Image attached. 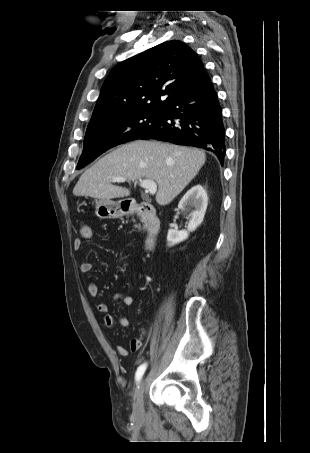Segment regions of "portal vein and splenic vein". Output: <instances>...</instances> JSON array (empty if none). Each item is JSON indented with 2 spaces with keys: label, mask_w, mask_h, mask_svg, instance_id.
<instances>
[{
  "label": "portal vein and splenic vein",
  "mask_w": 310,
  "mask_h": 453,
  "mask_svg": "<svg viewBox=\"0 0 310 453\" xmlns=\"http://www.w3.org/2000/svg\"><path fill=\"white\" fill-rule=\"evenodd\" d=\"M126 178L122 176L112 177L111 182H125ZM140 187L146 189L151 195H154L157 191V184L153 180L149 179H140L139 180Z\"/></svg>",
  "instance_id": "portal-vein-and-splenic-vein-1"
}]
</instances>
